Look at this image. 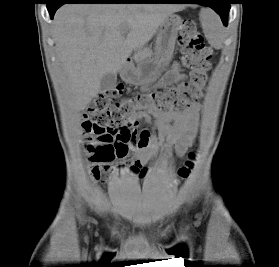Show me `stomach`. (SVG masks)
Instances as JSON below:
<instances>
[{"label":"stomach","instance_id":"obj_1","mask_svg":"<svg viewBox=\"0 0 279 267\" xmlns=\"http://www.w3.org/2000/svg\"><path fill=\"white\" fill-rule=\"evenodd\" d=\"M182 22L180 16L169 15L158 30L154 58L145 60L137 66L125 65L120 71L123 81L135 86L156 82L164 66L172 59L175 41L182 30Z\"/></svg>","mask_w":279,"mask_h":267}]
</instances>
